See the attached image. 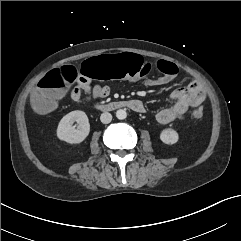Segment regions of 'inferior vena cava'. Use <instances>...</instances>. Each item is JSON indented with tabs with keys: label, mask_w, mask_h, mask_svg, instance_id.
I'll list each match as a JSON object with an SVG mask.
<instances>
[{
	"label": "inferior vena cava",
	"mask_w": 241,
	"mask_h": 241,
	"mask_svg": "<svg viewBox=\"0 0 241 241\" xmlns=\"http://www.w3.org/2000/svg\"><path fill=\"white\" fill-rule=\"evenodd\" d=\"M100 120L103 124H108L112 121V115L108 112H104L101 114Z\"/></svg>",
	"instance_id": "obj_1"
}]
</instances>
